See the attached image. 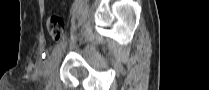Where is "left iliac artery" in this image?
<instances>
[{
    "label": "left iliac artery",
    "mask_w": 209,
    "mask_h": 90,
    "mask_svg": "<svg viewBox=\"0 0 209 90\" xmlns=\"http://www.w3.org/2000/svg\"><path fill=\"white\" fill-rule=\"evenodd\" d=\"M66 44H67V41H66V40H62V41H60L58 44H56V45L54 46V48H53V51H52L50 57H54L58 52L61 51V49H62L63 47L66 46Z\"/></svg>",
    "instance_id": "left-iliac-artery-1"
}]
</instances>
